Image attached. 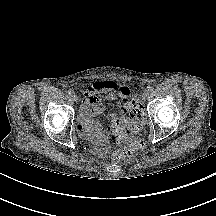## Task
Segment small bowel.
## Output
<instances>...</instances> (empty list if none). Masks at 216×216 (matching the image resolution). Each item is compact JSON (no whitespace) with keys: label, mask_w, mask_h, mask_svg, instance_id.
I'll return each instance as SVG.
<instances>
[{"label":"small bowel","mask_w":216,"mask_h":216,"mask_svg":"<svg viewBox=\"0 0 216 216\" xmlns=\"http://www.w3.org/2000/svg\"><path fill=\"white\" fill-rule=\"evenodd\" d=\"M130 96L129 87L113 82L105 81L90 85L84 93L78 119L80 134L96 145H103L106 140V133L95 117L104 112L105 107L102 99H117L116 111L108 116L112 122L123 116Z\"/></svg>","instance_id":"obj_1"}]
</instances>
